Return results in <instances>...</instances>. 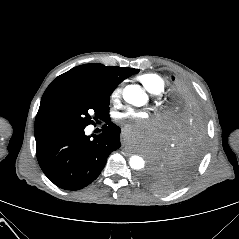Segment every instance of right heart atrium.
<instances>
[{
	"label": "right heart atrium",
	"mask_w": 239,
	"mask_h": 239,
	"mask_svg": "<svg viewBox=\"0 0 239 239\" xmlns=\"http://www.w3.org/2000/svg\"><path fill=\"white\" fill-rule=\"evenodd\" d=\"M122 95V87L120 85L114 87L110 93V101L116 103L120 100Z\"/></svg>",
	"instance_id": "1"
}]
</instances>
